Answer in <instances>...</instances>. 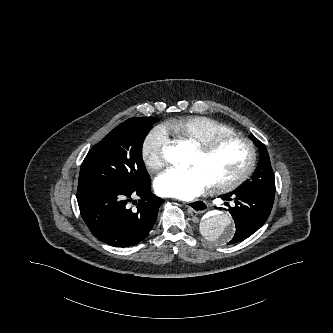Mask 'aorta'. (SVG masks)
<instances>
[{"label": "aorta", "mask_w": 333, "mask_h": 333, "mask_svg": "<svg viewBox=\"0 0 333 333\" xmlns=\"http://www.w3.org/2000/svg\"><path fill=\"white\" fill-rule=\"evenodd\" d=\"M169 163L186 167L189 165V148L178 144L165 153ZM235 232V226L232 218L219 211L212 212L202 222V235L207 239L216 243L227 242Z\"/></svg>", "instance_id": "1"}]
</instances>
